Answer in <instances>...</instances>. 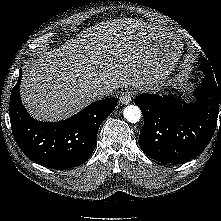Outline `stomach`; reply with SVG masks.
<instances>
[{
    "label": "stomach",
    "mask_w": 221,
    "mask_h": 221,
    "mask_svg": "<svg viewBox=\"0 0 221 221\" xmlns=\"http://www.w3.org/2000/svg\"><path fill=\"white\" fill-rule=\"evenodd\" d=\"M153 66L149 72L148 88L159 90L167 81L181 55V40L168 30H151L147 38Z\"/></svg>",
    "instance_id": "obj_1"
}]
</instances>
